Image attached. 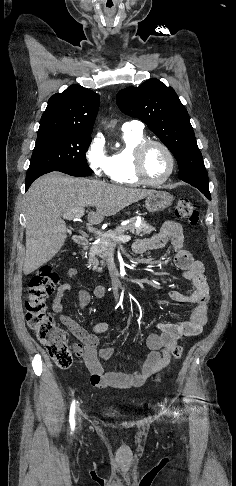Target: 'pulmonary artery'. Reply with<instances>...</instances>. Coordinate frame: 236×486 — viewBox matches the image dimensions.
<instances>
[{"label": "pulmonary artery", "mask_w": 236, "mask_h": 486, "mask_svg": "<svg viewBox=\"0 0 236 486\" xmlns=\"http://www.w3.org/2000/svg\"><path fill=\"white\" fill-rule=\"evenodd\" d=\"M143 123L138 120H132L125 122L122 126V129H135V130H143Z\"/></svg>", "instance_id": "e3ab8cb5"}]
</instances>
